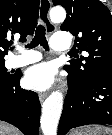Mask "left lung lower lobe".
Wrapping results in <instances>:
<instances>
[{"label": "left lung lower lobe", "instance_id": "obj_1", "mask_svg": "<svg viewBox=\"0 0 112 135\" xmlns=\"http://www.w3.org/2000/svg\"><path fill=\"white\" fill-rule=\"evenodd\" d=\"M68 73L69 90L58 135H65L70 129L83 125H112V73L98 74L85 81Z\"/></svg>", "mask_w": 112, "mask_h": 135}]
</instances>
